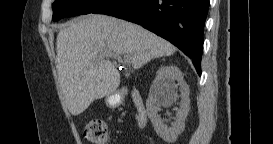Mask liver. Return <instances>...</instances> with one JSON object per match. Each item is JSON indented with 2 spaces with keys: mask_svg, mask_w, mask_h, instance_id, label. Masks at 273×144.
<instances>
[{
  "mask_svg": "<svg viewBox=\"0 0 273 144\" xmlns=\"http://www.w3.org/2000/svg\"><path fill=\"white\" fill-rule=\"evenodd\" d=\"M176 47L143 27L115 17L90 14L71 21L57 35L56 67L70 113H83L95 99L116 91L120 73L108 54H128L138 69Z\"/></svg>",
  "mask_w": 273,
  "mask_h": 144,
  "instance_id": "1",
  "label": "liver"
}]
</instances>
